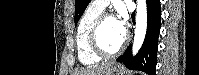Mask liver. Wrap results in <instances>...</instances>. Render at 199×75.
I'll return each mask as SVG.
<instances>
[{
    "label": "liver",
    "instance_id": "obj_1",
    "mask_svg": "<svg viewBox=\"0 0 199 75\" xmlns=\"http://www.w3.org/2000/svg\"><path fill=\"white\" fill-rule=\"evenodd\" d=\"M111 65H97L75 71L74 75H108Z\"/></svg>",
    "mask_w": 199,
    "mask_h": 75
}]
</instances>
